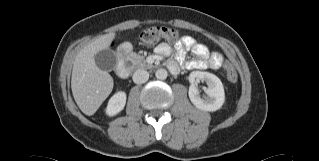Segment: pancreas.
Returning <instances> with one entry per match:
<instances>
[{"mask_svg":"<svg viewBox=\"0 0 319 161\" xmlns=\"http://www.w3.org/2000/svg\"><path fill=\"white\" fill-rule=\"evenodd\" d=\"M126 59L128 61H130L135 68H138V69H140V68L144 69V68H151L152 67L151 65L147 64L144 56H141V55H139V54H137L135 52H130L127 55Z\"/></svg>","mask_w":319,"mask_h":161,"instance_id":"pancreas-1","label":"pancreas"}]
</instances>
